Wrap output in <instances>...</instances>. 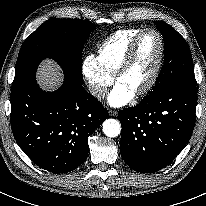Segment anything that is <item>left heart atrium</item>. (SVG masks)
I'll return each instance as SVG.
<instances>
[{
    "label": "left heart atrium",
    "instance_id": "1",
    "mask_svg": "<svg viewBox=\"0 0 206 206\" xmlns=\"http://www.w3.org/2000/svg\"><path fill=\"white\" fill-rule=\"evenodd\" d=\"M135 93L122 83L118 82L109 94L108 102L113 107H121L128 104Z\"/></svg>",
    "mask_w": 206,
    "mask_h": 206
}]
</instances>
